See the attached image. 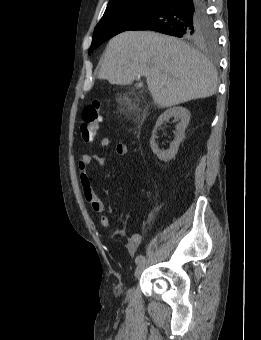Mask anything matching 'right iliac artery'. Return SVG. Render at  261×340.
<instances>
[{"label": "right iliac artery", "instance_id": "1", "mask_svg": "<svg viewBox=\"0 0 261 340\" xmlns=\"http://www.w3.org/2000/svg\"><path fill=\"white\" fill-rule=\"evenodd\" d=\"M145 259V257L143 255H138L135 259V263L139 264L141 263L143 260Z\"/></svg>", "mask_w": 261, "mask_h": 340}]
</instances>
